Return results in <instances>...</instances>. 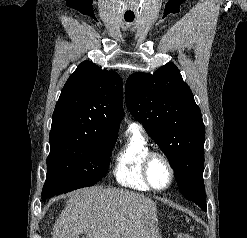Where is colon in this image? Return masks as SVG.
Masks as SVG:
<instances>
[{"label": "colon", "instance_id": "5ec220e1", "mask_svg": "<svg viewBox=\"0 0 247 238\" xmlns=\"http://www.w3.org/2000/svg\"><path fill=\"white\" fill-rule=\"evenodd\" d=\"M178 238H194L193 236H191V235H189V234H180L179 236H178Z\"/></svg>", "mask_w": 247, "mask_h": 238}]
</instances>
